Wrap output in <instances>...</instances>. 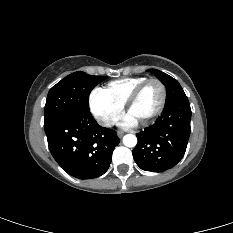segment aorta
<instances>
[{"instance_id": "1", "label": "aorta", "mask_w": 233, "mask_h": 233, "mask_svg": "<svg viewBox=\"0 0 233 233\" xmlns=\"http://www.w3.org/2000/svg\"><path fill=\"white\" fill-rule=\"evenodd\" d=\"M123 144L127 147H135L137 144V138L133 134H127L123 137Z\"/></svg>"}]
</instances>
